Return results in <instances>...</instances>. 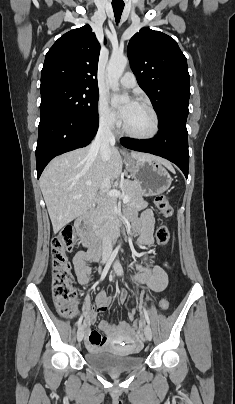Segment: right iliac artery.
Instances as JSON below:
<instances>
[{
    "label": "right iliac artery",
    "mask_w": 235,
    "mask_h": 404,
    "mask_svg": "<svg viewBox=\"0 0 235 404\" xmlns=\"http://www.w3.org/2000/svg\"><path fill=\"white\" fill-rule=\"evenodd\" d=\"M118 250H119V249L116 248V249L112 252V254H111V256H110L108 262L106 263V265H105V267H104V269H103V272H102V274H101V278H100L101 281L106 277V275H107V273H108V271H109V269H110V266H111L112 262L114 261L116 255L118 254ZM82 320H83V316L80 317V319H79V321H78V326L81 325Z\"/></svg>",
    "instance_id": "1"
}]
</instances>
